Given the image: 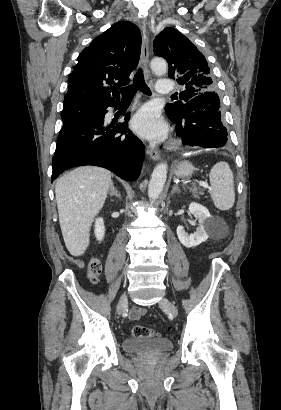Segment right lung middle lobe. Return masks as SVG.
I'll use <instances>...</instances> for the list:
<instances>
[{
  "mask_svg": "<svg viewBox=\"0 0 281 410\" xmlns=\"http://www.w3.org/2000/svg\"><path fill=\"white\" fill-rule=\"evenodd\" d=\"M98 107L93 106H72L63 108L61 118L63 127H67L85 117L96 114ZM62 127V128H63Z\"/></svg>",
  "mask_w": 281,
  "mask_h": 410,
  "instance_id": "right-lung-middle-lobe-1",
  "label": "right lung middle lobe"
}]
</instances>
